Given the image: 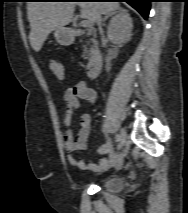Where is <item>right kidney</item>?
<instances>
[{
    "label": "right kidney",
    "mask_w": 188,
    "mask_h": 213,
    "mask_svg": "<svg viewBox=\"0 0 188 213\" xmlns=\"http://www.w3.org/2000/svg\"><path fill=\"white\" fill-rule=\"evenodd\" d=\"M132 28V18L128 11L123 10L111 19L107 34L114 44H126L131 39Z\"/></svg>",
    "instance_id": "ca27d5eb"
}]
</instances>
